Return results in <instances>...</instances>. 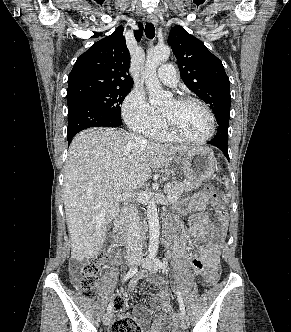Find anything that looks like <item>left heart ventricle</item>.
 Listing matches in <instances>:
<instances>
[{"instance_id": "obj_1", "label": "left heart ventricle", "mask_w": 291, "mask_h": 332, "mask_svg": "<svg viewBox=\"0 0 291 332\" xmlns=\"http://www.w3.org/2000/svg\"><path fill=\"white\" fill-rule=\"evenodd\" d=\"M173 125L183 134L200 138L209 131V118L201 106L193 102L177 103L169 100L161 107Z\"/></svg>"}]
</instances>
